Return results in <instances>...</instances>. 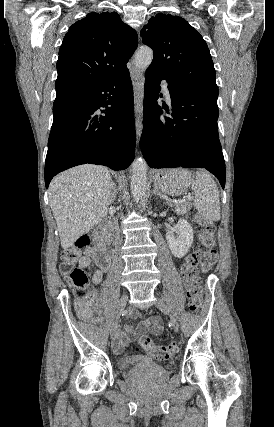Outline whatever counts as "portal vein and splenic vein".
Here are the masks:
<instances>
[{
  "label": "portal vein and splenic vein",
  "instance_id": "portal-vein-and-splenic-vein-1",
  "mask_svg": "<svg viewBox=\"0 0 274 427\" xmlns=\"http://www.w3.org/2000/svg\"><path fill=\"white\" fill-rule=\"evenodd\" d=\"M188 200H192V198H188ZM182 202H184V200H177V202H175V204H182Z\"/></svg>",
  "mask_w": 274,
  "mask_h": 427
}]
</instances>
